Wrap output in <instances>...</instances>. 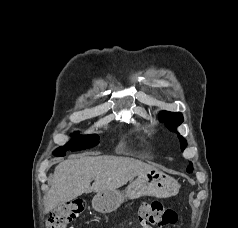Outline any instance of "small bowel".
Returning a JSON list of instances; mask_svg holds the SVG:
<instances>
[{"label": "small bowel", "instance_id": "small-bowel-1", "mask_svg": "<svg viewBox=\"0 0 238 228\" xmlns=\"http://www.w3.org/2000/svg\"><path fill=\"white\" fill-rule=\"evenodd\" d=\"M141 228H153L150 224H142Z\"/></svg>", "mask_w": 238, "mask_h": 228}]
</instances>
